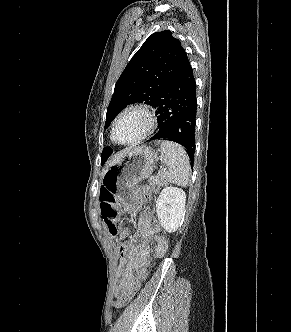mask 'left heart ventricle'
Segmentation results:
<instances>
[{"instance_id": "obj_1", "label": "left heart ventricle", "mask_w": 291, "mask_h": 332, "mask_svg": "<svg viewBox=\"0 0 291 332\" xmlns=\"http://www.w3.org/2000/svg\"><path fill=\"white\" fill-rule=\"evenodd\" d=\"M147 129V118L140 111H130L119 121L116 135L123 142L131 141L141 136Z\"/></svg>"}]
</instances>
